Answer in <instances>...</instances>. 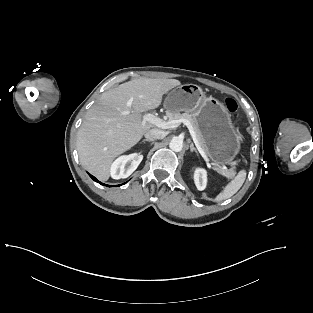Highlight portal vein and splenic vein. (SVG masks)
<instances>
[{
  "label": "portal vein and splenic vein",
  "mask_w": 313,
  "mask_h": 313,
  "mask_svg": "<svg viewBox=\"0 0 313 313\" xmlns=\"http://www.w3.org/2000/svg\"><path fill=\"white\" fill-rule=\"evenodd\" d=\"M143 120L150 122L151 124H153L159 128H162V129H174V128H177L181 123L185 124L188 127L189 132L192 136V139H193L196 147L198 148V151L200 152L201 156L206 160V162H209V159L207 158L206 153L202 149V147H201V145H200V143L196 137V133L194 131V128L188 120H186V119H173V120H169V121H164L161 118H159L153 114H150V113L144 114ZM223 170H226V167H223Z\"/></svg>",
  "instance_id": "1"
}]
</instances>
